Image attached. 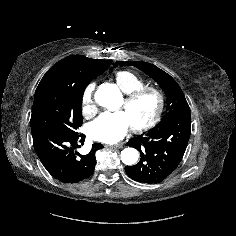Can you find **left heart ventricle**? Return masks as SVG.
<instances>
[{
    "mask_svg": "<svg viewBox=\"0 0 236 236\" xmlns=\"http://www.w3.org/2000/svg\"><path fill=\"white\" fill-rule=\"evenodd\" d=\"M157 101L154 95L146 94L130 105L122 102L119 109L128 116L131 125H139L148 121L154 114Z\"/></svg>",
    "mask_w": 236,
    "mask_h": 236,
    "instance_id": "b2bd125f",
    "label": "left heart ventricle"
}]
</instances>
